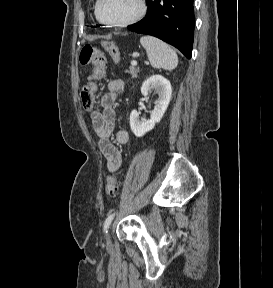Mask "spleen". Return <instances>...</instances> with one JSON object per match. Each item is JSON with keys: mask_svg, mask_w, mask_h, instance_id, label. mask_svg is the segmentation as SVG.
Wrapping results in <instances>:
<instances>
[{"mask_svg": "<svg viewBox=\"0 0 273 288\" xmlns=\"http://www.w3.org/2000/svg\"><path fill=\"white\" fill-rule=\"evenodd\" d=\"M141 45L147 52L148 59L154 68L173 70L178 65L176 52L165 42L152 36L140 38Z\"/></svg>", "mask_w": 273, "mask_h": 288, "instance_id": "spleen-1", "label": "spleen"}]
</instances>
